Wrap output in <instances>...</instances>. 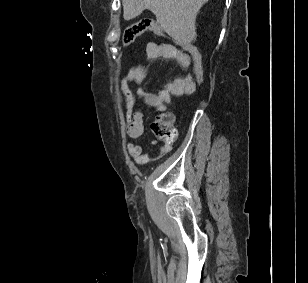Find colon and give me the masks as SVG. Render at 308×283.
<instances>
[{
    "mask_svg": "<svg viewBox=\"0 0 308 283\" xmlns=\"http://www.w3.org/2000/svg\"><path fill=\"white\" fill-rule=\"evenodd\" d=\"M145 32H152L163 35L164 30L151 20H141L128 26L122 35V44L127 46L133 43L139 36ZM183 47L191 58V73L193 77L189 93H193L197 86L203 81V61L199 49L190 43H184ZM152 133L160 140L173 141L177 132L173 126V116L171 113H162L151 124Z\"/></svg>",
    "mask_w": 308,
    "mask_h": 283,
    "instance_id": "colon-1",
    "label": "colon"
}]
</instances>
